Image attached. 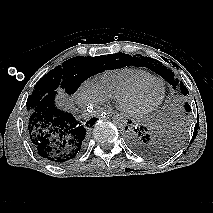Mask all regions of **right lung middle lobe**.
<instances>
[{
	"mask_svg": "<svg viewBox=\"0 0 213 213\" xmlns=\"http://www.w3.org/2000/svg\"><path fill=\"white\" fill-rule=\"evenodd\" d=\"M122 55L123 53H116L107 56L74 57L63 62L62 66H57L48 72L35 85L26 104L28 114L47 94L58 87L68 94H73L87 78L106 69H112L110 63L120 59Z\"/></svg>",
	"mask_w": 213,
	"mask_h": 213,
	"instance_id": "dd1d6c3e",
	"label": "right lung middle lobe"
}]
</instances>
